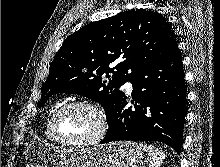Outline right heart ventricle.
<instances>
[{
	"label": "right heart ventricle",
	"mask_w": 220,
	"mask_h": 167,
	"mask_svg": "<svg viewBox=\"0 0 220 167\" xmlns=\"http://www.w3.org/2000/svg\"><path fill=\"white\" fill-rule=\"evenodd\" d=\"M50 119L51 118H49L48 119V121H47V123H46V127H45V136L48 138V139H50V140H53L52 139V136H51V133H50Z\"/></svg>",
	"instance_id": "obj_1"
}]
</instances>
